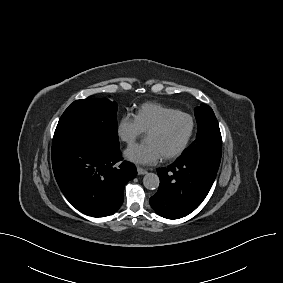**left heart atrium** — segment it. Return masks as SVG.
Instances as JSON below:
<instances>
[{
  "mask_svg": "<svg viewBox=\"0 0 283 283\" xmlns=\"http://www.w3.org/2000/svg\"><path fill=\"white\" fill-rule=\"evenodd\" d=\"M163 154L153 143L136 144L125 151L127 160L140 165H153L159 161Z\"/></svg>",
  "mask_w": 283,
  "mask_h": 283,
  "instance_id": "39dd6f15",
  "label": "left heart atrium"
}]
</instances>
